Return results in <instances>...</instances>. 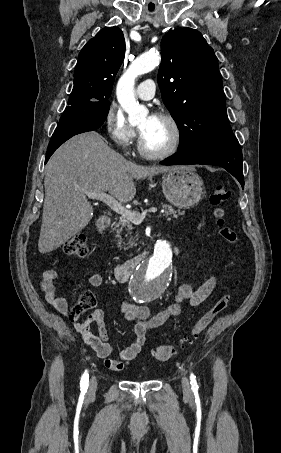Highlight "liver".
I'll list each match as a JSON object with an SVG mask.
<instances>
[{"mask_svg": "<svg viewBox=\"0 0 281 453\" xmlns=\"http://www.w3.org/2000/svg\"><path fill=\"white\" fill-rule=\"evenodd\" d=\"M179 166L130 162L95 130L72 136L55 150L45 166L39 253L55 251L87 227L93 206L85 190L110 192L120 202H129L136 194L134 178H147Z\"/></svg>", "mask_w": 281, "mask_h": 453, "instance_id": "6515ba94", "label": "liver"}]
</instances>
